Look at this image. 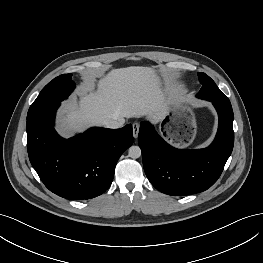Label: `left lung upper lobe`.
I'll return each instance as SVG.
<instances>
[{
	"mask_svg": "<svg viewBox=\"0 0 263 263\" xmlns=\"http://www.w3.org/2000/svg\"><path fill=\"white\" fill-rule=\"evenodd\" d=\"M198 77L202 84V88L197 94L198 98L222 103L230 102L229 99L221 92L215 82L208 75L202 72H198Z\"/></svg>",
	"mask_w": 263,
	"mask_h": 263,
	"instance_id": "obj_1",
	"label": "left lung upper lobe"
}]
</instances>
